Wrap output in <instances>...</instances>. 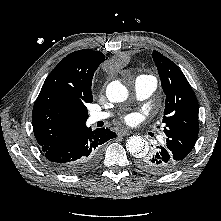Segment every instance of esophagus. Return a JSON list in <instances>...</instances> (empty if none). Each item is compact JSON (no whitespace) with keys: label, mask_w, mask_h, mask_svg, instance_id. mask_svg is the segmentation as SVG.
Wrapping results in <instances>:
<instances>
[{"label":"esophagus","mask_w":221,"mask_h":221,"mask_svg":"<svg viewBox=\"0 0 221 221\" xmlns=\"http://www.w3.org/2000/svg\"><path fill=\"white\" fill-rule=\"evenodd\" d=\"M132 132L130 130H127V129H121L119 132H118V135L120 136H128L130 135Z\"/></svg>","instance_id":"obj_1"}]
</instances>
